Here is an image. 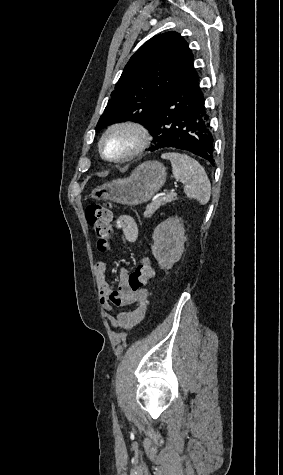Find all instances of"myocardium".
<instances>
[{
    "label": "myocardium",
    "mask_w": 283,
    "mask_h": 475,
    "mask_svg": "<svg viewBox=\"0 0 283 475\" xmlns=\"http://www.w3.org/2000/svg\"><path fill=\"white\" fill-rule=\"evenodd\" d=\"M125 130L133 131L136 134V139L131 149L125 154L117 157L107 156L103 150V144L105 140L110 135ZM150 140V130L144 123L135 120H121L113 123L104 131L99 140L98 149L101 157L108 162H125L141 155L148 147Z\"/></svg>",
    "instance_id": "f54148a6"
}]
</instances>
